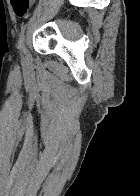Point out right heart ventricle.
Returning <instances> with one entry per match:
<instances>
[{
  "label": "right heart ventricle",
  "instance_id": "right-heart-ventricle-1",
  "mask_svg": "<svg viewBox=\"0 0 140 196\" xmlns=\"http://www.w3.org/2000/svg\"><path fill=\"white\" fill-rule=\"evenodd\" d=\"M25 192H36V191H25Z\"/></svg>",
  "mask_w": 140,
  "mask_h": 196
}]
</instances>
